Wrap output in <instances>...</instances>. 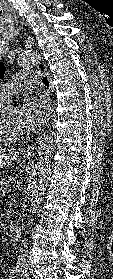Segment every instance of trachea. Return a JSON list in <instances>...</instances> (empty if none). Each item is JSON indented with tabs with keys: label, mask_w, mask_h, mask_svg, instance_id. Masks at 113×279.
<instances>
[{
	"label": "trachea",
	"mask_w": 113,
	"mask_h": 279,
	"mask_svg": "<svg viewBox=\"0 0 113 279\" xmlns=\"http://www.w3.org/2000/svg\"><path fill=\"white\" fill-rule=\"evenodd\" d=\"M42 82L44 83L45 86H49L47 77H43Z\"/></svg>",
	"instance_id": "trachea-1"
}]
</instances>
